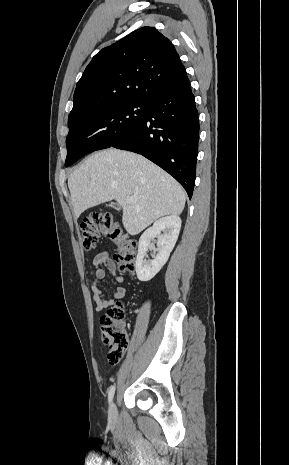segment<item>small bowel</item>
<instances>
[{
    "label": "small bowel",
    "instance_id": "obj_1",
    "mask_svg": "<svg viewBox=\"0 0 289 465\" xmlns=\"http://www.w3.org/2000/svg\"><path fill=\"white\" fill-rule=\"evenodd\" d=\"M106 271L113 275L118 283H122L124 281V278L117 274V262L112 259L107 252H101L94 257L93 268L91 270V275L94 279L91 285V291L97 312L112 306L115 302L114 299L120 300L126 295V288L124 286H118L113 294L114 299H107L105 297L102 290V282L106 278Z\"/></svg>",
    "mask_w": 289,
    "mask_h": 465
}]
</instances>
